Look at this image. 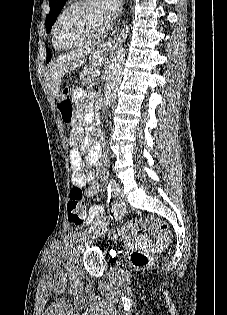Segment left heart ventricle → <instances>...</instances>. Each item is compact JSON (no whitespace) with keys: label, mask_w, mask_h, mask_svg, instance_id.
<instances>
[{"label":"left heart ventricle","mask_w":227,"mask_h":315,"mask_svg":"<svg viewBox=\"0 0 227 315\" xmlns=\"http://www.w3.org/2000/svg\"><path fill=\"white\" fill-rule=\"evenodd\" d=\"M106 25L96 0L74 8L61 21L58 29V43L68 46L85 41L100 32Z\"/></svg>","instance_id":"obj_1"}]
</instances>
